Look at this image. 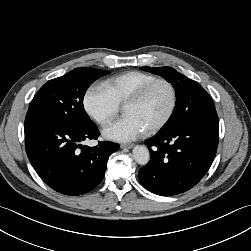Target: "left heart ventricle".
Listing matches in <instances>:
<instances>
[{
  "label": "left heart ventricle",
  "instance_id": "b2bd125f",
  "mask_svg": "<svg viewBox=\"0 0 251 251\" xmlns=\"http://www.w3.org/2000/svg\"><path fill=\"white\" fill-rule=\"evenodd\" d=\"M171 104V92L165 84L154 86L142 102L124 108L126 115L137 118L146 130L157 125L167 114Z\"/></svg>",
  "mask_w": 251,
  "mask_h": 251
}]
</instances>
